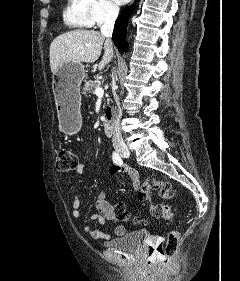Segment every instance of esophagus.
Returning <instances> with one entry per match:
<instances>
[{
    "mask_svg": "<svg viewBox=\"0 0 240 281\" xmlns=\"http://www.w3.org/2000/svg\"><path fill=\"white\" fill-rule=\"evenodd\" d=\"M134 3V0H132L131 5Z\"/></svg>",
    "mask_w": 240,
    "mask_h": 281,
    "instance_id": "34e87169",
    "label": "esophagus"
}]
</instances>
